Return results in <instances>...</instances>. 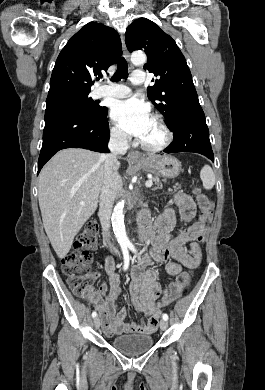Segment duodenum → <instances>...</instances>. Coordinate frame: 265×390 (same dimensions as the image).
<instances>
[{
	"instance_id": "410a0bca",
	"label": "duodenum",
	"mask_w": 265,
	"mask_h": 390,
	"mask_svg": "<svg viewBox=\"0 0 265 390\" xmlns=\"http://www.w3.org/2000/svg\"><path fill=\"white\" fill-rule=\"evenodd\" d=\"M143 216H140L139 218V228H140V237L142 241H147L150 238V222L147 219L142 218Z\"/></svg>"
}]
</instances>
